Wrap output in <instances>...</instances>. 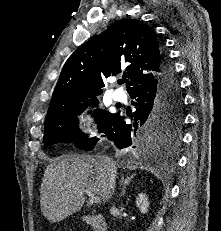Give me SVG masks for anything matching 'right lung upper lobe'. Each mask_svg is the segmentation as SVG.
Wrapping results in <instances>:
<instances>
[{"instance_id":"1","label":"right lung upper lobe","mask_w":221,"mask_h":231,"mask_svg":"<svg viewBox=\"0 0 221 231\" xmlns=\"http://www.w3.org/2000/svg\"><path fill=\"white\" fill-rule=\"evenodd\" d=\"M162 48L145 23L119 20L80 46L66 61L52 95L47 117L69 100L102 93V78L128 75V93L155 82L161 74Z\"/></svg>"}]
</instances>
